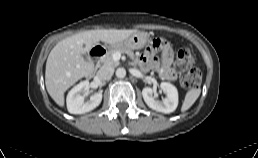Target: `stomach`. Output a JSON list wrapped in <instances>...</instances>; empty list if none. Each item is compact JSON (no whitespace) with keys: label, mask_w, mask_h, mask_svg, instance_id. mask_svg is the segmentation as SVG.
I'll use <instances>...</instances> for the list:
<instances>
[{"label":"stomach","mask_w":258,"mask_h":158,"mask_svg":"<svg viewBox=\"0 0 258 158\" xmlns=\"http://www.w3.org/2000/svg\"><path fill=\"white\" fill-rule=\"evenodd\" d=\"M148 34L143 31H136L130 36H128L123 41H120L116 44H111L108 47H118V48H129V49H141L143 48L148 41Z\"/></svg>","instance_id":"stomach-1"}]
</instances>
